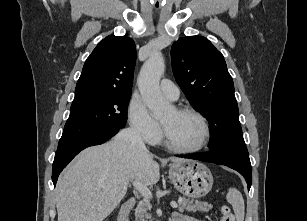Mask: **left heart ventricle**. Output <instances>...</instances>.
<instances>
[{
    "label": "left heart ventricle",
    "mask_w": 307,
    "mask_h": 221,
    "mask_svg": "<svg viewBox=\"0 0 307 221\" xmlns=\"http://www.w3.org/2000/svg\"><path fill=\"white\" fill-rule=\"evenodd\" d=\"M161 121L170 142L175 146L192 147L198 144L202 138V125L193 115L180 114L176 110H172Z\"/></svg>",
    "instance_id": "left-heart-ventricle-1"
}]
</instances>
